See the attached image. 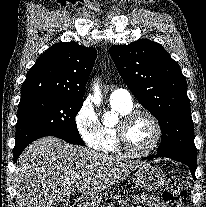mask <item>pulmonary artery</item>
Returning <instances> with one entry per match:
<instances>
[{
    "label": "pulmonary artery",
    "mask_w": 206,
    "mask_h": 207,
    "mask_svg": "<svg viewBox=\"0 0 206 207\" xmlns=\"http://www.w3.org/2000/svg\"><path fill=\"white\" fill-rule=\"evenodd\" d=\"M110 101L125 107H132L133 105L131 94L125 89L114 90L110 95Z\"/></svg>",
    "instance_id": "pulmonary-artery-1"
}]
</instances>
